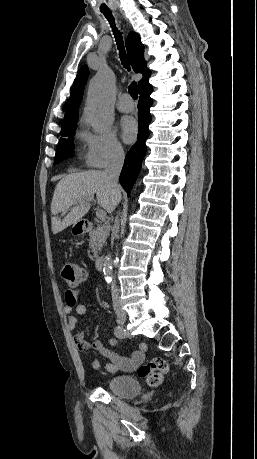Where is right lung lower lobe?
Segmentation results:
<instances>
[{
  "mask_svg": "<svg viewBox=\"0 0 257 459\" xmlns=\"http://www.w3.org/2000/svg\"><path fill=\"white\" fill-rule=\"evenodd\" d=\"M151 92L152 86L149 82L139 88V128L137 142L127 153L124 166L120 174V184L128 195L130 194L131 188L137 179V175L141 169L142 160L146 152L145 141L149 134L148 126L151 122V115L149 112V108L152 105V99L150 98Z\"/></svg>",
  "mask_w": 257,
  "mask_h": 459,
  "instance_id": "obj_1",
  "label": "right lung lower lobe"
}]
</instances>
